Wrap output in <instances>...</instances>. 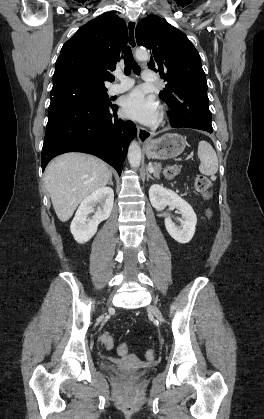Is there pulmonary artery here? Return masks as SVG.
I'll list each match as a JSON object with an SVG mask.
<instances>
[{"instance_id": "e3ab8cb5", "label": "pulmonary artery", "mask_w": 264, "mask_h": 419, "mask_svg": "<svg viewBox=\"0 0 264 419\" xmlns=\"http://www.w3.org/2000/svg\"><path fill=\"white\" fill-rule=\"evenodd\" d=\"M117 78L119 82L112 85L109 88L110 94L122 93L130 89L134 84V81L131 78L125 76L124 74L118 73ZM142 78L147 82H154L156 80V75L152 70L146 69L142 74Z\"/></svg>"}]
</instances>
